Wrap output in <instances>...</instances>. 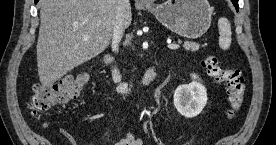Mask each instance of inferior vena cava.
<instances>
[{
  "instance_id": "obj_1",
  "label": "inferior vena cava",
  "mask_w": 276,
  "mask_h": 145,
  "mask_svg": "<svg viewBox=\"0 0 276 145\" xmlns=\"http://www.w3.org/2000/svg\"><path fill=\"white\" fill-rule=\"evenodd\" d=\"M117 4V13L116 18L114 22V28H113V35H112V50L114 52H118L119 49V42L121 41L124 27H123V18H122V12L124 7L128 6L129 0H116Z\"/></svg>"
}]
</instances>
